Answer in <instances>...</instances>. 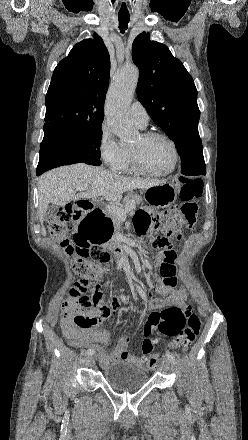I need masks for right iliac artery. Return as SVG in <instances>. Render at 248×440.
Wrapping results in <instances>:
<instances>
[{
    "label": "right iliac artery",
    "mask_w": 248,
    "mask_h": 440,
    "mask_svg": "<svg viewBox=\"0 0 248 440\" xmlns=\"http://www.w3.org/2000/svg\"><path fill=\"white\" fill-rule=\"evenodd\" d=\"M95 353V351H94V349H92V348H89L87 351H86V354L89 356V355H93Z\"/></svg>",
    "instance_id": "82829eb1"
}]
</instances>
